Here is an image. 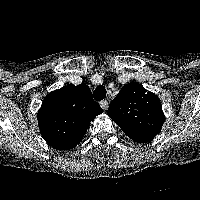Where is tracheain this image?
<instances>
[{
    "mask_svg": "<svg viewBox=\"0 0 200 200\" xmlns=\"http://www.w3.org/2000/svg\"><path fill=\"white\" fill-rule=\"evenodd\" d=\"M106 95V89L104 86L99 85L94 91V97L96 100H101Z\"/></svg>",
    "mask_w": 200,
    "mask_h": 200,
    "instance_id": "3493384b",
    "label": "trachea"
}]
</instances>
